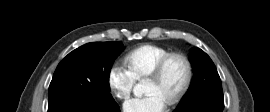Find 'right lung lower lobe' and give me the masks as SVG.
<instances>
[{
  "label": "right lung lower lobe",
  "instance_id": "right-lung-lower-lobe-1",
  "mask_svg": "<svg viewBox=\"0 0 270 112\" xmlns=\"http://www.w3.org/2000/svg\"><path fill=\"white\" fill-rule=\"evenodd\" d=\"M48 112H120L116 102L111 105L97 103L84 95L48 104Z\"/></svg>",
  "mask_w": 270,
  "mask_h": 112
}]
</instances>
